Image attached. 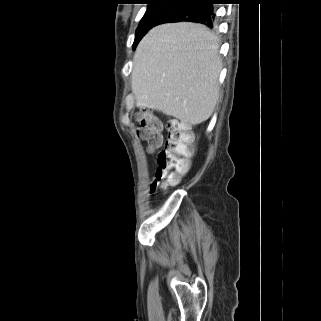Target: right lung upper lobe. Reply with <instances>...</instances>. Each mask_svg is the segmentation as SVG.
Wrapping results in <instances>:
<instances>
[{
	"label": "right lung upper lobe",
	"instance_id": "right-lung-upper-lobe-1",
	"mask_svg": "<svg viewBox=\"0 0 321 321\" xmlns=\"http://www.w3.org/2000/svg\"><path fill=\"white\" fill-rule=\"evenodd\" d=\"M148 3L150 2H153V1H159V0H146ZM171 1H174L175 2V5H180V4H183L185 2H188L190 0H171Z\"/></svg>",
	"mask_w": 321,
	"mask_h": 321
}]
</instances>
